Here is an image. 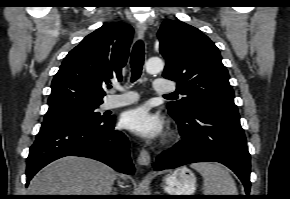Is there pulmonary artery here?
Segmentation results:
<instances>
[{"instance_id": "pulmonary-artery-1", "label": "pulmonary artery", "mask_w": 290, "mask_h": 199, "mask_svg": "<svg viewBox=\"0 0 290 199\" xmlns=\"http://www.w3.org/2000/svg\"><path fill=\"white\" fill-rule=\"evenodd\" d=\"M154 88L158 93L167 94L175 90L174 83L162 79H157L154 81ZM114 90L118 92H123V94L110 95L104 101L105 109H114L123 107L134 103L138 100V96L135 93L127 92L122 86L115 85Z\"/></svg>"}]
</instances>
